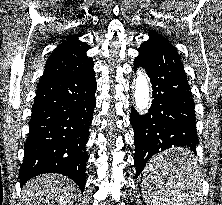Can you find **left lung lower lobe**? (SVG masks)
<instances>
[{
	"label": "left lung lower lobe",
	"mask_w": 222,
	"mask_h": 205,
	"mask_svg": "<svg viewBox=\"0 0 222 205\" xmlns=\"http://www.w3.org/2000/svg\"><path fill=\"white\" fill-rule=\"evenodd\" d=\"M135 57L134 69L142 66L150 77L153 100L149 112L138 115L131 109L134 129L136 176L154 154L171 147H184L196 152L194 102L180 56L169 41L150 33Z\"/></svg>",
	"instance_id": "1"
}]
</instances>
